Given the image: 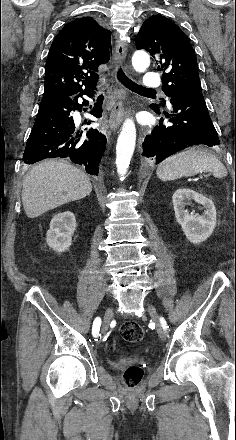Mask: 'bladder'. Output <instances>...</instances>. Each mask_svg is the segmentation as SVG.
<instances>
[{"label":"bladder","mask_w":236,"mask_h":440,"mask_svg":"<svg viewBox=\"0 0 236 440\" xmlns=\"http://www.w3.org/2000/svg\"><path fill=\"white\" fill-rule=\"evenodd\" d=\"M118 362L117 361H112V366L114 367V368H117L118 367Z\"/></svg>","instance_id":"obj_1"}]
</instances>
